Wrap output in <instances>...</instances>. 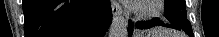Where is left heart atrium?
I'll use <instances>...</instances> for the list:
<instances>
[{
  "mask_svg": "<svg viewBox=\"0 0 219 37\" xmlns=\"http://www.w3.org/2000/svg\"><path fill=\"white\" fill-rule=\"evenodd\" d=\"M126 3L129 4L130 7H131V6L135 5V4H137L138 1L137 0H128V1H126Z\"/></svg>",
  "mask_w": 219,
  "mask_h": 37,
  "instance_id": "1",
  "label": "left heart atrium"
}]
</instances>
